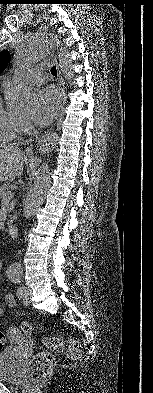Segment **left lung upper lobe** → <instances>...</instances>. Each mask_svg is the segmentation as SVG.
I'll use <instances>...</instances> for the list:
<instances>
[{"mask_svg": "<svg viewBox=\"0 0 153 393\" xmlns=\"http://www.w3.org/2000/svg\"><path fill=\"white\" fill-rule=\"evenodd\" d=\"M9 52L4 50L0 52V73L6 68L9 62Z\"/></svg>", "mask_w": 153, "mask_h": 393, "instance_id": "1", "label": "left lung upper lobe"}]
</instances>
